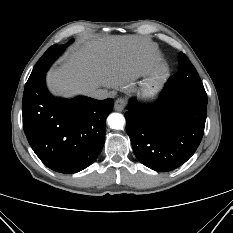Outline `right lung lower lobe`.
Returning a JSON list of instances; mask_svg holds the SVG:
<instances>
[{
  "mask_svg": "<svg viewBox=\"0 0 233 233\" xmlns=\"http://www.w3.org/2000/svg\"><path fill=\"white\" fill-rule=\"evenodd\" d=\"M112 99L53 97L45 85V74L25 85L23 128L30 146L50 169L64 174L91 165L105 140V120Z\"/></svg>",
  "mask_w": 233,
  "mask_h": 233,
  "instance_id": "1",
  "label": "right lung lower lobe"
}]
</instances>
